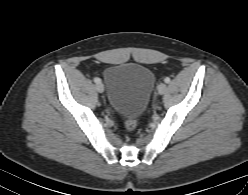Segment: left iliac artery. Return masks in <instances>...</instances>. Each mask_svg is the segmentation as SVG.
I'll return each instance as SVG.
<instances>
[{
    "label": "left iliac artery",
    "mask_w": 248,
    "mask_h": 195,
    "mask_svg": "<svg viewBox=\"0 0 248 195\" xmlns=\"http://www.w3.org/2000/svg\"><path fill=\"white\" fill-rule=\"evenodd\" d=\"M164 81H165L166 83H169V82H170V78H169V77H166V78L164 79Z\"/></svg>",
    "instance_id": "left-iliac-artery-1"
}]
</instances>
